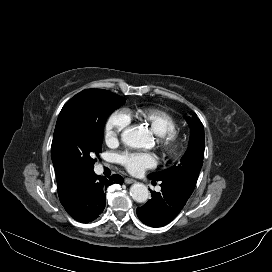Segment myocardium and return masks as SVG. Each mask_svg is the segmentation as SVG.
Masks as SVG:
<instances>
[{"instance_id": "myocardium-1", "label": "myocardium", "mask_w": 272, "mask_h": 272, "mask_svg": "<svg viewBox=\"0 0 272 272\" xmlns=\"http://www.w3.org/2000/svg\"><path fill=\"white\" fill-rule=\"evenodd\" d=\"M156 142L167 156H175L181 146V137L177 131L157 135Z\"/></svg>"}]
</instances>
